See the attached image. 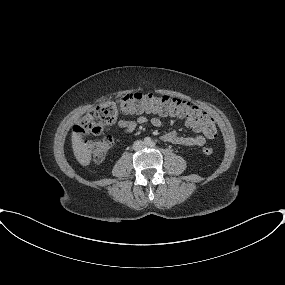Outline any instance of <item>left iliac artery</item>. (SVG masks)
I'll use <instances>...</instances> for the list:
<instances>
[{"instance_id": "44dca946", "label": "left iliac artery", "mask_w": 285, "mask_h": 285, "mask_svg": "<svg viewBox=\"0 0 285 285\" xmlns=\"http://www.w3.org/2000/svg\"><path fill=\"white\" fill-rule=\"evenodd\" d=\"M150 146H151V147H154V146H155V142H151V143H150Z\"/></svg>"}]
</instances>
